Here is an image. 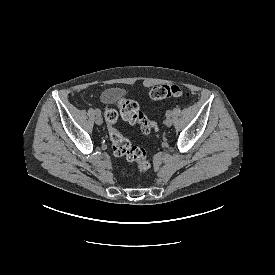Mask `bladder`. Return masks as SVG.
<instances>
[{
  "label": "bladder",
  "mask_w": 275,
  "mask_h": 275,
  "mask_svg": "<svg viewBox=\"0 0 275 275\" xmlns=\"http://www.w3.org/2000/svg\"><path fill=\"white\" fill-rule=\"evenodd\" d=\"M120 89L116 87L107 88L100 95V100L104 104H113L120 100Z\"/></svg>",
  "instance_id": "obj_1"
}]
</instances>
